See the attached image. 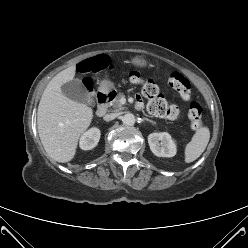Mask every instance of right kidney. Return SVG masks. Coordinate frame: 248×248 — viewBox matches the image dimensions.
I'll return each instance as SVG.
<instances>
[{
    "label": "right kidney",
    "instance_id": "ca27d5eb",
    "mask_svg": "<svg viewBox=\"0 0 248 248\" xmlns=\"http://www.w3.org/2000/svg\"><path fill=\"white\" fill-rule=\"evenodd\" d=\"M100 130L96 127L86 131L80 138V148L82 150L93 149L99 142Z\"/></svg>",
    "mask_w": 248,
    "mask_h": 248
}]
</instances>
